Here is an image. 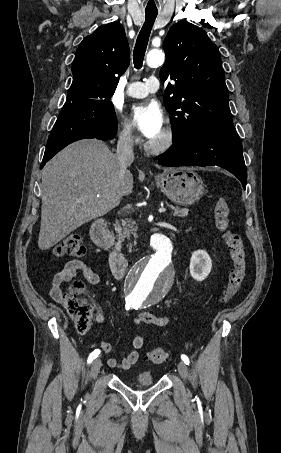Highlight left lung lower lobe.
I'll return each mask as SVG.
<instances>
[{
  "instance_id": "obj_1",
  "label": "left lung lower lobe",
  "mask_w": 281,
  "mask_h": 453,
  "mask_svg": "<svg viewBox=\"0 0 281 453\" xmlns=\"http://www.w3.org/2000/svg\"><path fill=\"white\" fill-rule=\"evenodd\" d=\"M164 166L217 165L234 174L245 189L247 171L234 125L214 128L177 143L159 156Z\"/></svg>"
}]
</instances>
